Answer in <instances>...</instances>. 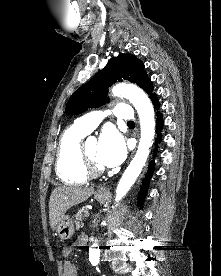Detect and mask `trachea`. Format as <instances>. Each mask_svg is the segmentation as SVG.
<instances>
[{"instance_id":"1","label":"trachea","mask_w":221,"mask_h":276,"mask_svg":"<svg viewBox=\"0 0 221 276\" xmlns=\"http://www.w3.org/2000/svg\"><path fill=\"white\" fill-rule=\"evenodd\" d=\"M127 124L134 125L133 121H129Z\"/></svg>"}]
</instances>
